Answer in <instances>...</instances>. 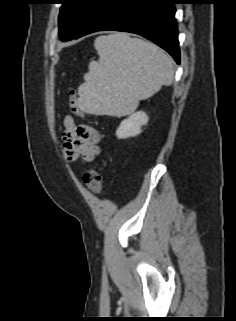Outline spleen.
Here are the masks:
<instances>
[{"label":"spleen","instance_id":"obj_1","mask_svg":"<svg viewBox=\"0 0 236 321\" xmlns=\"http://www.w3.org/2000/svg\"><path fill=\"white\" fill-rule=\"evenodd\" d=\"M99 61L89 64L78 106L95 115L123 116L140 100L173 83V59L156 45L114 33L96 38Z\"/></svg>","mask_w":236,"mask_h":321}]
</instances>
